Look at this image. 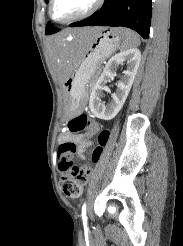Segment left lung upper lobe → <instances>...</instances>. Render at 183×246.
<instances>
[{
  "label": "left lung upper lobe",
  "instance_id": "1",
  "mask_svg": "<svg viewBox=\"0 0 183 246\" xmlns=\"http://www.w3.org/2000/svg\"><path fill=\"white\" fill-rule=\"evenodd\" d=\"M49 0H45L46 3H48ZM60 31L59 28H56L51 22H48L47 26H46V30H45V34L49 35V34H53Z\"/></svg>",
  "mask_w": 183,
  "mask_h": 246
}]
</instances>
